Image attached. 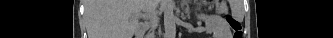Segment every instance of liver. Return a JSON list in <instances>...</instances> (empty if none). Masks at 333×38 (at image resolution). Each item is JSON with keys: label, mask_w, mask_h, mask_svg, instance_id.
<instances>
[{"label": "liver", "mask_w": 333, "mask_h": 38, "mask_svg": "<svg viewBox=\"0 0 333 38\" xmlns=\"http://www.w3.org/2000/svg\"><path fill=\"white\" fill-rule=\"evenodd\" d=\"M159 0H87L88 38H132L139 29V15L154 12Z\"/></svg>", "instance_id": "6515ba94"}]
</instances>
